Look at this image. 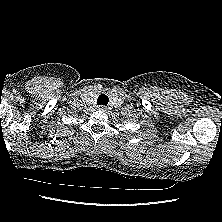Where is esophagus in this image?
<instances>
[{
	"label": "esophagus",
	"mask_w": 222,
	"mask_h": 222,
	"mask_svg": "<svg viewBox=\"0 0 222 222\" xmlns=\"http://www.w3.org/2000/svg\"><path fill=\"white\" fill-rule=\"evenodd\" d=\"M99 110H101V111H106V110H107V107L104 106V105H101V106H99Z\"/></svg>",
	"instance_id": "34e87169"
}]
</instances>
